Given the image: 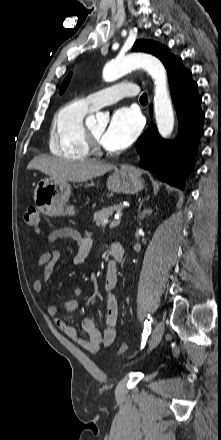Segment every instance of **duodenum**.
<instances>
[{"label": "duodenum", "mask_w": 221, "mask_h": 440, "mask_svg": "<svg viewBox=\"0 0 221 440\" xmlns=\"http://www.w3.org/2000/svg\"><path fill=\"white\" fill-rule=\"evenodd\" d=\"M110 253L112 256V267L116 270V267L124 259V248L121 243L114 242L110 247Z\"/></svg>", "instance_id": "duodenum-1"}]
</instances>
